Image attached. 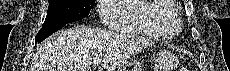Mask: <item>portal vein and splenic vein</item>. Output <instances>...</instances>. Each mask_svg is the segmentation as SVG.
Segmentation results:
<instances>
[{
    "label": "portal vein and splenic vein",
    "instance_id": "1",
    "mask_svg": "<svg viewBox=\"0 0 230 71\" xmlns=\"http://www.w3.org/2000/svg\"><path fill=\"white\" fill-rule=\"evenodd\" d=\"M100 60H101L100 55L96 56V57L94 58L93 62H92L93 65H94V66H97V65L99 64Z\"/></svg>",
    "mask_w": 230,
    "mask_h": 71
}]
</instances>
